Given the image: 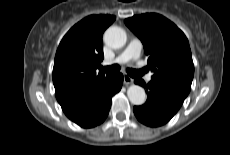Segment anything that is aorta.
Masks as SVG:
<instances>
[{
    "instance_id": "aorta-1",
    "label": "aorta",
    "mask_w": 230,
    "mask_h": 155,
    "mask_svg": "<svg viewBox=\"0 0 230 155\" xmlns=\"http://www.w3.org/2000/svg\"><path fill=\"white\" fill-rule=\"evenodd\" d=\"M126 39V32L118 26L109 27L104 33L105 43L114 49L123 47ZM127 95L134 105H142L146 101L145 90L139 85H131L127 90Z\"/></svg>"
}]
</instances>
